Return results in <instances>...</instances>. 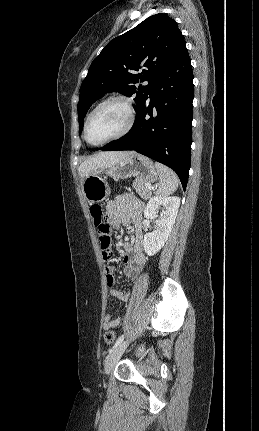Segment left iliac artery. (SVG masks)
Masks as SVG:
<instances>
[{"instance_id": "1", "label": "left iliac artery", "mask_w": 259, "mask_h": 431, "mask_svg": "<svg viewBox=\"0 0 259 431\" xmlns=\"http://www.w3.org/2000/svg\"><path fill=\"white\" fill-rule=\"evenodd\" d=\"M123 339H124V335H121L117 340H116V342H115V344H114V346L112 347V349L110 350V352L114 349V348H116L122 341H123Z\"/></svg>"}]
</instances>
